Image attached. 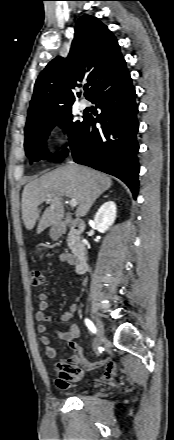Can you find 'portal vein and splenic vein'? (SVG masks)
<instances>
[{
  "mask_svg": "<svg viewBox=\"0 0 174 440\" xmlns=\"http://www.w3.org/2000/svg\"><path fill=\"white\" fill-rule=\"evenodd\" d=\"M67 203H69L72 207L77 206V201H76V199L68 200Z\"/></svg>",
  "mask_w": 174,
  "mask_h": 440,
  "instance_id": "portal-vein-and-splenic-vein-1",
  "label": "portal vein and splenic vein"
}]
</instances>
